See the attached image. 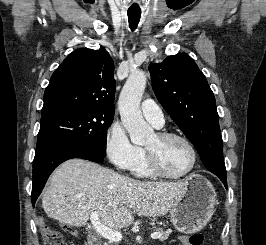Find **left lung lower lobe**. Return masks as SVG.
Returning <instances> with one entry per match:
<instances>
[{"instance_id": "0a47b994", "label": "left lung lower lobe", "mask_w": 266, "mask_h": 245, "mask_svg": "<svg viewBox=\"0 0 266 245\" xmlns=\"http://www.w3.org/2000/svg\"><path fill=\"white\" fill-rule=\"evenodd\" d=\"M218 177L223 182L225 188H227V179H226V176H218Z\"/></svg>"}]
</instances>
